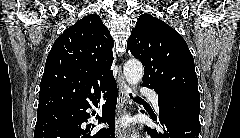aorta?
Segmentation results:
<instances>
[{"label": "aorta", "mask_w": 240, "mask_h": 138, "mask_svg": "<svg viewBox=\"0 0 240 138\" xmlns=\"http://www.w3.org/2000/svg\"><path fill=\"white\" fill-rule=\"evenodd\" d=\"M143 65L140 61L131 59L128 60L124 66V76L129 85L132 87H135L143 77ZM132 138H139V135L137 132H133Z\"/></svg>", "instance_id": "aorta-1"}]
</instances>
